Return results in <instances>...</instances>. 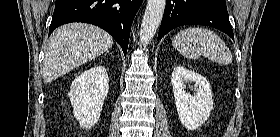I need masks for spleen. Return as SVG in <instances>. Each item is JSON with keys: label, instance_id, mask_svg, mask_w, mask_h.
Returning a JSON list of instances; mask_svg holds the SVG:
<instances>
[{"label": "spleen", "instance_id": "3e777b00", "mask_svg": "<svg viewBox=\"0 0 280 137\" xmlns=\"http://www.w3.org/2000/svg\"><path fill=\"white\" fill-rule=\"evenodd\" d=\"M172 45L181 55L198 59L201 55L220 64L232 63V54L223 40L213 31L201 27H189L180 31Z\"/></svg>", "mask_w": 280, "mask_h": 137}]
</instances>
